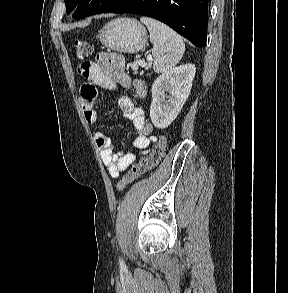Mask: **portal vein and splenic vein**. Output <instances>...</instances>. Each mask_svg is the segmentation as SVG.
I'll use <instances>...</instances> for the list:
<instances>
[{"instance_id": "obj_1", "label": "portal vein and splenic vein", "mask_w": 288, "mask_h": 293, "mask_svg": "<svg viewBox=\"0 0 288 293\" xmlns=\"http://www.w3.org/2000/svg\"><path fill=\"white\" fill-rule=\"evenodd\" d=\"M148 60H151V57H148ZM139 65H142L143 67H146L147 64L146 63H142V62H138V63H134L131 67L133 70H137Z\"/></svg>"}]
</instances>
